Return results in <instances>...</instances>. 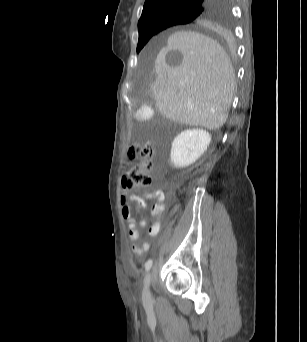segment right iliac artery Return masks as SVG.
<instances>
[{"instance_id":"right-iliac-artery-1","label":"right iliac artery","mask_w":307,"mask_h":342,"mask_svg":"<svg viewBox=\"0 0 307 342\" xmlns=\"http://www.w3.org/2000/svg\"><path fill=\"white\" fill-rule=\"evenodd\" d=\"M152 259H149L147 262H146V264H145V270L146 271H149L150 270V268L152 267Z\"/></svg>"}]
</instances>
